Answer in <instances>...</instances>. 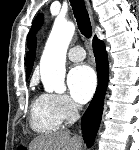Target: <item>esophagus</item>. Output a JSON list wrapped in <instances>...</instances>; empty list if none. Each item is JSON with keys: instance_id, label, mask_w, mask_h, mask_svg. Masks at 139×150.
Here are the masks:
<instances>
[{"instance_id": "esophagus-1", "label": "esophagus", "mask_w": 139, "mask_h": 150, "mask_svg": "<svg viewBox=\"0 0 139 150\" xmlns=\"http://www.w3.org/2000/svg\"><path fill=\"white\" fill-rule=\"evenodd\" d=\"M85 1H86V3H87V8H88V12H89V15H90V18H91V22H92V24H94V21H93V13H92L91 7H90V5H89L88 0H85Z\"/></svg>"}]
</instances>
